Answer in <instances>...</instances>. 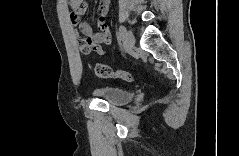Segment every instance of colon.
Segmentation results:
<instances>
[{
  "label": "colon",
  "mask_w": 239,
  "mask_h": 156,
  "mask_svg": "<svg viewBox=\"0 0 239 156\" xmlns=\"http://www.w3.org/2000/svg\"><path fill=\"white\" fill-rule=\"evenodd\" d=\"M94 72L100 78H115L128 82H131L133 80L130 74L123 71L114 70L113 68L103 64H96L94 66Z\"/></svg>",
  "instance_id": "colon-1"
}]
</instances>
